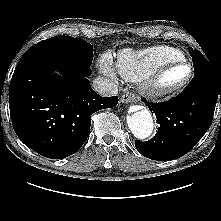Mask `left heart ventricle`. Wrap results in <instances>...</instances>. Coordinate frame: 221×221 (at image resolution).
<instances>
[{
	"mask_svg": "<svg viewBox=\"0 0 221 221\" xmlns=\"http://www.w3.org/2000/svg\"><path fill=\"white\" fill-rule=\"evenodd\" d=\"M189 75V68L187 66L177 67L167 74L162 79V84L165 86H173L183 82Z\"/></svg>",
	"mask_w": 221,
	"mask_h": 221,
	"instance_id": "1",
	"label": "left heart ventricle"
}]
</instances>
